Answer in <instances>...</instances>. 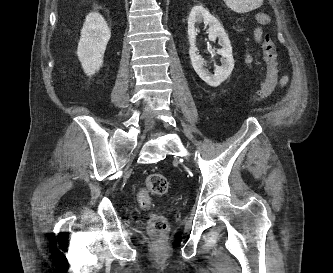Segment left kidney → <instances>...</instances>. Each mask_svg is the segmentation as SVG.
<instances>
[{
	"mask_svg": "<svg viewBox=\"0 0 333 273\" xmlns=\"http://www.w3.org/2000/svg\"><path fill=\"white\" fill-rule=\"evenodd\" d=\"M202 21L206 25H209V40L215 41L216 38H218L220 45L222 46L221 49L217 50V54L222 56V65L216 68L214 75L208 74L203 67L206 61L196 53L198 49L196 47L197 32L195 25L196 23H201ZM188 40L190 44L189 55L195 72L208 85L213 87L219 86L229 77L234 68L232 47L228 35L221 26L220 22L202 5H196L191 9L188 18Z\"/></svg>",
	"mask_w": 333,
	"mask_h": 273,
	"instance_id": "5707ae66",
	"label": "left kidney"
}]
</instances>
